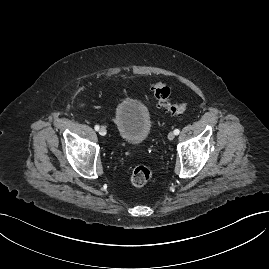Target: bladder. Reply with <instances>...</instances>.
<instances>
[{"label":"bladder","mask_w":269,"mask_h":269,"mask_svg":"<svg viewBox=\"0 0 269 269\" xmlns=\"http://www.w3.org/2000/svg\"><path fill=\"white\" fill-rule=\"evenodd\" d=\"M114 123L119 138L129 144L143 142L151 129V118L146 106L131 97L122 98L118 102Z\"/></svg>","instance_id":"31cf9c89"}]
</instances>
